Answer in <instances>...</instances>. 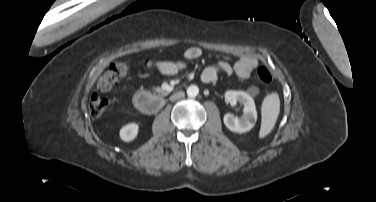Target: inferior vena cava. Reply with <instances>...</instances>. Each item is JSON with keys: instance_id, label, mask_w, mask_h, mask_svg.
Returning <instances> with one entry per match:
<instances>
[{"instance_id": "602c4592", "label": "inferior vena cava", "mask_w": 376, "mask_h": 202, "mask_svg": "<svg viewBox=\"0 0 376 202\" xmlns=\"http://www.w3.org/2000/svg\"><path fill=\"white\" fill-rule=\"evenodd\" d=\"M183 96H184V94L180 92V93H177L175 96H173L172 99L174 100V99H177V98H181Z\"/></svg>"}]
</instances>
